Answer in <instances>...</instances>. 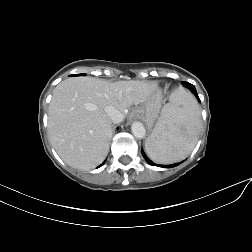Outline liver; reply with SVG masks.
<instances>
[{
  "label": "liver",
  "mask_w": 252,
  "mask_h": 252,
  "mask_svg": "<svg viewBox=\"0 0 252 252\" xmlns=\"http://www.w3.org/2000/svg\"><path fill=\"white\" fill-rule=\"evenodd\" d=\"M150 101L157 102L161 108V95L155 84L134 80L111 83L94 77L68 78L56 86L49 105L51 144L67 165L94 168L105 160L112 137V120L105 107L113 106L124 119L132 105Z\"/></svg>",
  "instance_id": "obj_1"
}]
</instances>
